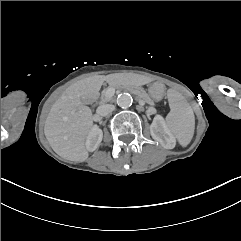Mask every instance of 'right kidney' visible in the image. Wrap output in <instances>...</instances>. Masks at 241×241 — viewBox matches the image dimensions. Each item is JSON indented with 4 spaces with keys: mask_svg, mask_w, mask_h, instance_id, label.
Returning <instances> with one entry per match:
<instances>
[{
    "mask_svg": "<svg viewBox=\"0 0 241 241\" xmlns=\"http://www.w3.org/2000/svg\"><path fill=\"white\" fill-rule=\"evenodd\" d=\"M102 138H103L102 131L98 127H95L90 133L87 140L88 150L91 152L95 151L100 145V143L102 142Z\"/></svg>",
    "mask_w": 241,
    "mask_h": 241,
    "instance_id": "1",
    "label": "right kidney"
}]
</instances>
